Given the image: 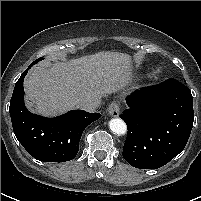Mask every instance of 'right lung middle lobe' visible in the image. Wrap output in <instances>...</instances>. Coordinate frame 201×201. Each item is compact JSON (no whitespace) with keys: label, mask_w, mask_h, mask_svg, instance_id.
Masks as SVG:
<instances>
[{"label":"right lung middle lobe","mask_w":201,"mask_h":201,"mask_svg":"<svg viewBox=\"0 0 201 201\" xmlns=\"http://www.w3.org/2000/svg\"><path fill=\"white\" fill-rule=\"evenodd\" d=\"M43 58H39V59H37V60H35L33 63L35 64V63H37L38 61H40V60H42Z\"/></svg>","instance_id":"right-lung-middle-lobe-1"}]
</instances>
